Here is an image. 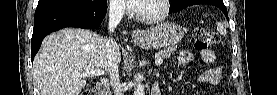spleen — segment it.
Listing matches in <instances>:
<instances>
[{"label":"spleen","mask_w":277,"mask_h":95,"mask_svg":"<svg viewBox=\"0 0 277 95\" xmlns=\"http://www.w3.org/2000/svg\"><path fill=\"white\" fill-rule=\"evenodd\" d=\"M217 31L223 36L227 35L226 28L224 27V25L221 22L217 23Z\"/></svg>","instance_id":"1"}]
</instances>
